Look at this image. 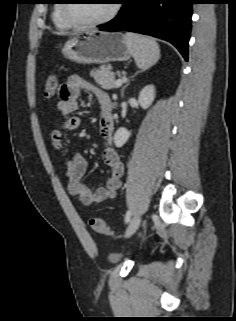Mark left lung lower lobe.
Listing matches in <instances>:
<instances>
[{"instance_id": "left-lung-lower-lobe-1", "label": "left lung lower lobe", "mask_w": 236, "mask_h": 321, "mask_svg": "<svg viewBox=\"0 0 236 321\" xmlns=\"http://www.w3.org/2000/svg\"><path fill=\"white\" fill-rule=\"evenodd\" d=\"M119 14L99 25L101 31H130L150 35L173 44L188 60L194 0H121Z\"/></svg>"}]
</instances>
